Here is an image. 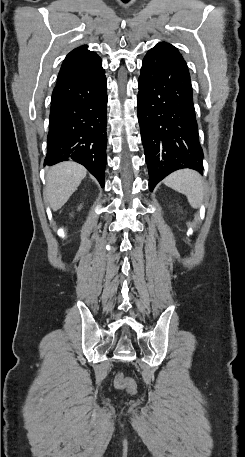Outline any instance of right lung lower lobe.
Wrapping results in <instances>:
<instances>
[{"label": "right lung lower lobe", "instance_id": "1", "mask_svg": "<svg viewBox=\"0 0 245 457\" xmlns=\"http://www.w3.org/2000/svg\"><path fill=\"white\" fill-rule=\"evenodd\" d=\"M107 80L105 70L56 83L51 98L44 166L75 161L104 186Z\"/></svg>", "mask_w": 245, "mask_h": 457}]
</instances>
